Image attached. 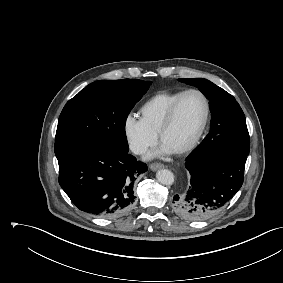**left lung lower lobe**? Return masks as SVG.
Segmentation results:
<instances>
[{"mask_svg": "<svg viewBox=\"0 0 283 283\" xmlns=\"http://www.w3.org/2000/svg\"><path fill=\"white\" fill-rule=\"evenodd\" d=\"M246 160L247 155L225 151L187 157L190 186L185 194L174 196V211L186 220L215 215L242 186Z\"/></svg>", "mask_w": 283, "mask_h": 283, "instance_id": "obj_1", "label": "left lung lower lobe"}]
</instances>
